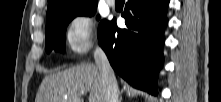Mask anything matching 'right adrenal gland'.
<instances>
[{
	"label": "right adrenal gland",
	"mask_w": 221,
	"mask_h": 102,
	"mask_svg": "<svg viewBox=\"0 0 221 102\" xmlns=\"http://www.w3.org/2000/svg\"><path fill=\"white\" fill-rule=\"evenodd\" d=\"M119 102H122V97L120 96Z\"/></svg>",
	"instance_id": "obj_1"
}]
</instances>
